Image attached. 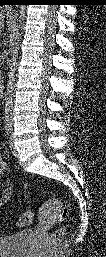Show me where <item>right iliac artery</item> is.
Masks as SVG:
<instances>
[{
  "label": "right iliac artery",
  "instance_id": "right-iliac-artery-1",
  "mask_svg": "<svg viewBox=\"0 0 106 257\" xmlns=\"http://www.w3.org/2000/svg\"><path fill=\"white\" fill-rule=\"evenodd\" d=\"M7 135L9 134V129L6 130Z\"/></svg>",
  "mask_w": 106,
  "mask_h": 257
}]
</instances>
